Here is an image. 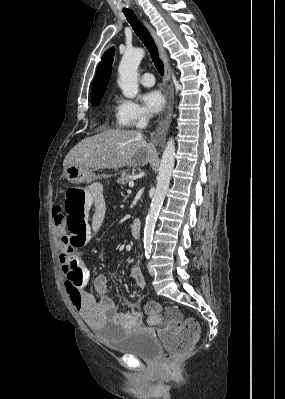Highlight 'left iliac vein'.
Masks as SVG:
<instances>
[{
    "label": "left iliac vein",
    "mask_w": 285,
    "mask_h": 399,
    "mask_svg": "<svg viewBox=\"0 0 285 399\" xmlns=\"http://www.w3.org/2000/svg\"><path fill=\"white\" fill-rule=\"evenodd\" d=\"M148 271H149V274H150L151 276H154V275H155V270H154V268L151 266V262L148 263Z\"/></svg>",
    "instance_id": "1"
}]
</instances>
